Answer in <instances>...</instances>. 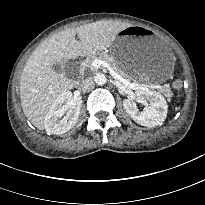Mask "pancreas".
I'll list each match as a JSON object with an SVG mask.
<instances>
[{
  "label": "pancreas",
  "mask_w": 205,
  "mask_h": 205,
  "mask_svg": "<svg viewBox=\"0 0 205 205\" xmlns=\"http://www.w3.org/2000/svg\"><path fill=\"white\" fill-rule=\"evenodd\" d=\"M95 59H99V60H103L105 61L106 63H108L111 68L117 73L119 74L121 77L127 79V80H131L120 68L119 66L117 65L116 61L108 54H105V53H99L97 55H91L89 56L88 58H86V60L84 61V66L86 68H90V69H94L93 66H92V62L95 60Z\"/></svg>",
  "instance_id": "pancreas-1"
}]
</instances>
